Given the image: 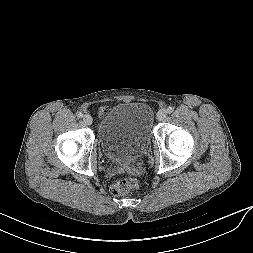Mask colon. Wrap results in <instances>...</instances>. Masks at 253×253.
I'll use <instances>...</instances> for the list:
<instances>
[{
	"label": "colon",
	"mask_w": 253,
	"mask_h": 253,
	"mask_svg": "<svg viewBox=\"0 0 253 253\" xmlns=\"http://www.w3.org/2000/svg\"><path fill=\"white\" fill-rule=\"evenodd\" d=\"M138 187V182L135 179L125 178L118 180L111 187V192L115 196H123Z\"/></svg>",
	"instance_id": "colon-1"
}]
</instances>
